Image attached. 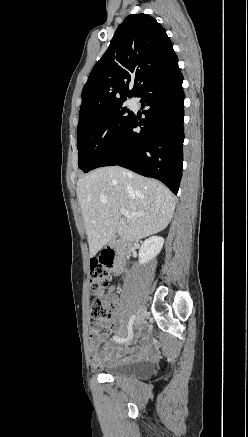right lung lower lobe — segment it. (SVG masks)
<instances>
[{
    "instance_id": "right-lung-lower-lobe-1",
    "label": "right lung lower lobe",
    "mask_w": 248,
    "mask_h": 437,
    "mask_svg": "<svg viewBox=\"0 0 248 437\" xmlns=\"http://www.w3.org/2000/svg\"><path fill=\"white\" fill-rule=\"evenodd\" d=\"M183 76L173 56L135 95L144 118L135 115L92 169L119 165L163 182L177 194L183 164ZM141 127L140 132L136 131Z\"/></svg>"
}]
</instances>
